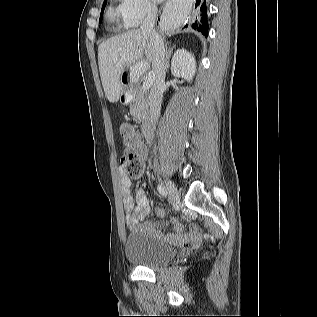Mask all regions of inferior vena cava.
Listing matches in <instances>:
<instances>
[{"instance_id":"1","label":"inferior vena cava","mask_w":317,"mask_h":317,"mask_svg":"<svg viewBox=\"0 0 317 317\" xmlns=\"http://www.w3.org/2000/svg\"><path fill=\"white\" fill-rule=\"evenodd\" d=\"M156 15V5L149 4L147 6V15L141 25L142 33L148 36L153 46L155 57L153 64L154 82L148 96L149 113L151 116V123L153 127H155V124L158 122V118L160 115L163 89L165 85V75L167 70L164 43L158 33L154 30Z\"/></svg>"}]
</instances>
